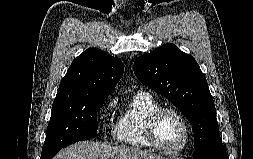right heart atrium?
<instances>
[{
    "label": "right heart atrium",
    "mask_w": 253,
    "mask_h": 159,
    "mask_svg": "<svg viewBox=\"0 0 253 159\" xmlns=\"http://www.w3.org/2000/svg\"><path fill=\"white\" fill-rule=\"evenodd\" d=\"M117 103V98L114 97L112 99H110L106 105V111H111L113 110V108L116 106Z\"/></svg>",
    "instance_id": "1"
}]
</instances>
